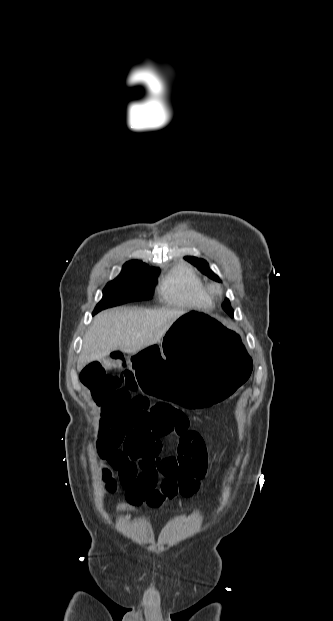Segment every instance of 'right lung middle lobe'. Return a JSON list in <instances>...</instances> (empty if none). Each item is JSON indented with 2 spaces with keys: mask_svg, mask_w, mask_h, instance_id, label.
Segmentation results:
<instances>
[{
  "mask_svg": "<svg viewBox=\"0 0 333 621\" xmlns=\"http://www.w3.org/2000/svg\"><path fill=\"white\" fill-rule=\"evenodd\" d=\"M159 268L124 264L120 275L103 290V298L96 305L97 312L130 301L150 300L154 294Z\"/></svg>",
  "mask_w": 333,
  "mask_h": 621,
  "instance_id": "right-lung-middle-lobe-1",
  "label": "right lung middle lobe"
}]
</instances>
